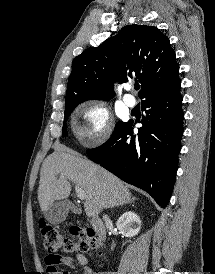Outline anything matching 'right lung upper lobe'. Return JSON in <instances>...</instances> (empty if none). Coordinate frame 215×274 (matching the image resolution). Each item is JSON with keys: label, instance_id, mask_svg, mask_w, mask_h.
<instances>
[{"label": "right lung upper lobe", "instance_id": "right-lung-upper-lobe-1", "mask_svg": "<svg viewBox=\"0 0 215 274\" xmlns=\"http://www.w3.org/2000/svg\"><path fill=\"white\" fill-rule=\"evenodd\" d=\"M179 66L169 39L156 27L128 25L98 47L78 55L68 80L66 106L114 96L113 83L138 80L145 99L180 87ZM117 74L121 78H117Z\"/></svg>", "mask_w": 215, "mask_h": 274}]
</instances>
